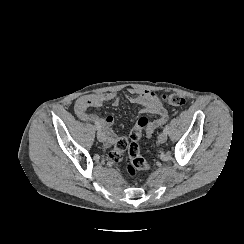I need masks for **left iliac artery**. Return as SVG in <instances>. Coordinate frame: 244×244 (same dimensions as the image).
Listing matches in <instances>:
<instances>
[{"mask_svg": "<svg viewBox=\"0 0 244 244\" xmlns=\"http://www.w3.org/2000/svg\"><path fill=\"white\" fill-rule=\"evenodd\" d=\"M168 131H169V124H167V125L164 127L163 132L167 134Z\"/></svg>", "mask_w": 244, "mask_h": 244, "instance_id": "obj_1", "label": "left iliac artery"}]
</instances>
